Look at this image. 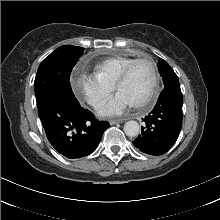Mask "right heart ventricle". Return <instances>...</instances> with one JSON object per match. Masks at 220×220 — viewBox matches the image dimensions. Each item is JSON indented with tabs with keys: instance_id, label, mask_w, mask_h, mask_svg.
Here are the masks:
<instances>
[{
	"instance_id": "right-heart-ventricle-1",
	"label": "right heart ventricle",
	"mask_w": 220,
	"mask_h": 220,
	"mask_svg": "<svg viewBox=\"0 0 220 220\" xmlns=\"http://www.w3.org/2000/svg\"><path fill=\"white\" fill-rule=\"evenodd\" d=\"M134 59V57L130 56L110 57L96 63L93 70L97 77L107 84L114 86L122 71Z\"/></svg>"
}]
</instances>
